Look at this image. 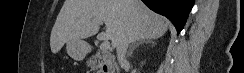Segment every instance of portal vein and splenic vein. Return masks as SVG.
Wrapping results in <instances>:
<instances>
[{"label":"portal vein and splenic vein","mask_w":244,"mask_h":73,"mask_svg":"<svg viewBox=\"0 0 244 73\" xmlns=\"http://www.w3.org/2000/svg\"><path fill=\"white\" fill-rule=\"evenodd\" d=\"M94 22H96V20H93ZM102 24V23H100ZM102 49L105 50V51H108L110 49V42L108 41V39H104L102 44Z\"/></svg>","instance_id":"portal-vein-and-splenic-vein-1"}]
</instances>
